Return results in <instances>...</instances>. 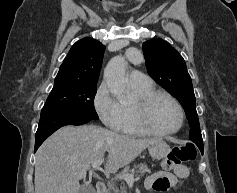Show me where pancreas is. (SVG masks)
<instances>
[{
  "label": "pancreas",
  "mask_w": 237,
  "mask_h": 193,
  "mask_svg": "<svg viewBox=\"0 0 237 193\" xmlns=\"http://www.w3.org/2000/svg\"><path fill=\"white\" fill-rule=\"evenodd\" d=\"M129 173L133 174V176L135 174L144 176L145 174L151 173V170L145 164H138L135 168L131 169ZM108 190L109 193H126L127 188L124 182L120 184V187H118L114 182H111L108 184Z\"/></svg>",
  "instance_id": "pancreas-1"
}]
</instances>
